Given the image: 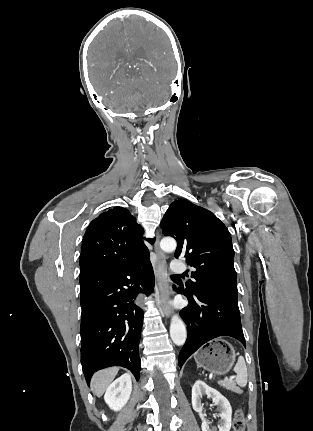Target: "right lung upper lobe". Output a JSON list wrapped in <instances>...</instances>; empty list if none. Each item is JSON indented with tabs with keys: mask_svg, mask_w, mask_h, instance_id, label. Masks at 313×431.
Masks as SVG:
<instances>
[{
	"mask_svg": "<svg viewBox=\"0 0 313 431\" xmlns=\"http://www.w3.org/2000/svg\"><path fill=\"white\" fill-rule=\"evenodd\" d=\"M143 228L126 208L116 206L100 214L87 228L80 254V276L118 269L147 256ZM153 244L155 239H148Z\"/></svg>",
	"mask_w": 313,
	"mask_h": 431,
	"instance_id": "cb5924a9",
	"label": "right lung upper lobe"
}]
</instances>
